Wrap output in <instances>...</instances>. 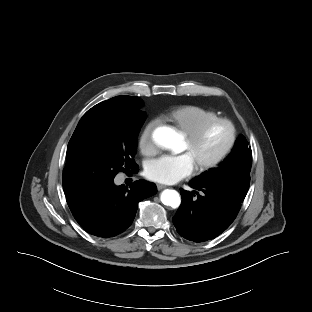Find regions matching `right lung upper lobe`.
Masks as SVG:
<instances>
[{
	"label": "right lung upper lobe",
	"mask_w": 312,
	"mask_h": 312,
	"mask_svg": "<svg viewBox=\"0 0 312 312\" xmlns=\"http://www.w3.org/2000/svg\"><path fill=\"white\" fill-rule=\"evenodd\" d=\"M140 99L134 96H116L109 100L101 102V104H116L126 107H135L138 105Z\"/></svg>",
	"instance_id": "obj_1"
}]
</instances>
